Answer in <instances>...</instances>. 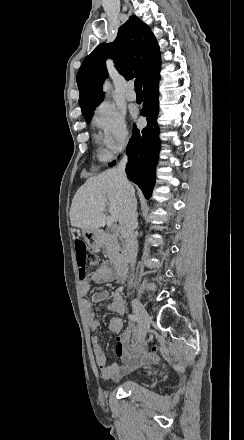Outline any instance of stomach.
<instances>
[{
    "mask_svg": "<svg viewBox=\"0 0 244 440\" xmlns=\"http://www.w3.org/2000/svg\"><path fill=\"white\" fill-rule=\"evenodd\" d=\"M82 236L89 248H101L103 240L100 230H82Z\"/></svg>",
    "mask_w": 244,
    "mask_h": 440,
    "instance_id": "1",
    "label": "stomach"
}]
</instances>
